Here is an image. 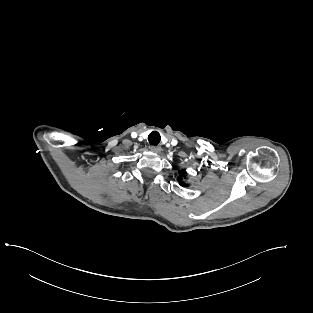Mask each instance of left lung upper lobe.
<instances>
[{"mask_svg": "<svg viewBox=\"0 0 313 313\" xmlns=\"http://www.w3.org/2000/svg\"><path fill=\"white\" fill-rule=\"evenodd\" d=\"M185 174H186L185 170L179 171L178 180L180 181L181 186H186V183L183 181V179H185Z\"/></svg>", "mask_w": 313, "mask_h": 313, "instance_id": "5c2ea615", "label": "left lung upper lobe"}]
</instances>
